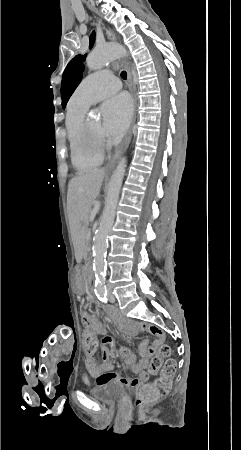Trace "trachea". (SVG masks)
<instances>
[{
	"instance_id": "trachea-1",
	"label": "trachea",
	"mask_w": 241,
	"mask_h": 450,
	"mask_svg": "<svg viewBox=\"0 0 241 450\" xmlns=\"http://www.w3.org/2000/svg\"><path fill=\"white\" fill-rule=\"evenodd\" d=\"M121 77H122L124 80H126L127 74H126L125 71L121 72Z\"/></svg>"
}]
</instances>
